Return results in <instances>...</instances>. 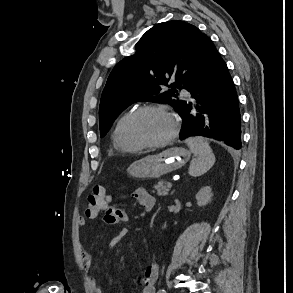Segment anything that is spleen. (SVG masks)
Wrapping results in <instances>:
<instances>
[{
    "label": "spleen",
    "instance_id": "spleen-1",
    "mask_svg": "<svg viewBox=\"0 0 293 293\" xmlns=\"http://www.w3.org/2000/svg\"><path fill=\"white\" fill-rule=\"evenodd\" d=\"M186 143L196 156L190 163L189 174L194 177L205 174L215 163L209 143L202 137L188 138Z\"/></svg>",
    "mask_w": 293,
    "mask_h": 293
}]
</instances>
